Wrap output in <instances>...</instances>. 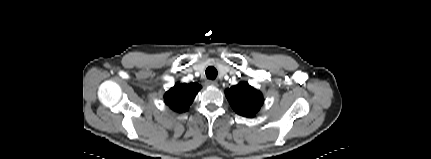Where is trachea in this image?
<instances>
[{"mask_svg":"<svg viewBox=\"0 0 431 159\" xmlns=\"http://www.w3.org/2000/svg\"><path fill=\"white\" fill-rule=\"evenodd\" d=\"M205 73H206L207 78L211 79V80L215 79L217 77V74H218L216 68H214L212 66L208 67L206 69Z\"/></svg>","mask_w":431,"mask_h":159,"instance_id":"1","label":"trachea"}]
</instances>
